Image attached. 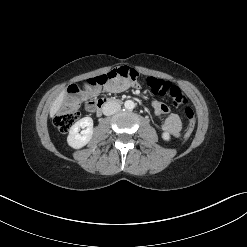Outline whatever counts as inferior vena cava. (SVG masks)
Listing matches in <instances>:
<instances>
[{"mask_svg": "<svg viewBox=\"0 0 247 247\" xmlns=\"http://www.w3.org/2000/svg\"><path fill=\"white\" fill-rule=\"evenodd\" d=\"M121 108L120 104L116 101H109L107 103L104 104L102 111L103 114L106 116L112 115L114 113H116L117 111H119Z\"/></svg>", "mask_w": 247, "mask_h": 247, "instance_id": "obj_1", "label": "inferior vena cava"}]
</instances>
